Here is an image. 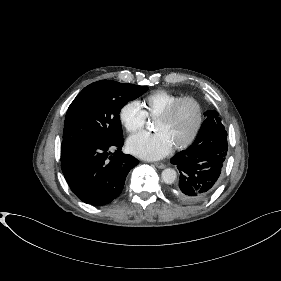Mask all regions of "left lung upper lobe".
<instances>
[{
    "label": "left lung upper lobe",
    "instance_id": "1",
    "mask_svg": "<svg viewBox=\"0 0 281 281\" xmlns=\"http://www.w3.org/2000/svg\"><path fill=\"white\" fill-rule=\"evenodd\" d=\"M212 111V110H211ZM208 112L210 111H207L205 114H207ZM212 116L215 117V118H218V113L216 111H212ZM219 119V118H218ZM220 123H221V120L219 119L218 120Z\"/></svg>",
    "mask_w": 281,
    "mask_h": 281
}]
</instances>
